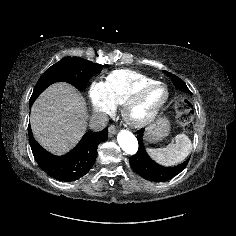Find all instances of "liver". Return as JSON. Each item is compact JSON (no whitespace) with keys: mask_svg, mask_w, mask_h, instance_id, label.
<instances>
[{"mask_svg":"<svg viewBox=\"0 0 236 236\" xmlns=\"http://www.w3.org/2000/svg\"><path fill=\"white\" fill-rule=\"evenodd\" d=\"M87 118L83 96L72 85L60 82L35 101L30 123L37 142L51 153L62 155L83 136Z\"/></svg>","mask_w":236,"mask_h":236,"instance_id":"1","label":"liver"}]
</instances>
